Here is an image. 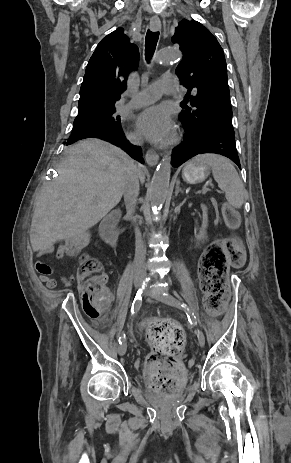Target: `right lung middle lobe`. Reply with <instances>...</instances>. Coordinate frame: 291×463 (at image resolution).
Returning a JSON list of instances; mask_svg holds the SVG:
<instances>
[{
    "mask_svg": "<svg viewBox=\"0 0 291 463\" xmlns=\"http://www.w3.org/2000/svg\"><path fill=\"white\" fill-rule=\"evenodd\" d=\"M115 107L100 112L76 117L69 139H74L89 133L113 131L121 128L120 117L115 115Z\"/></svg>",
    "mask_w": 291,
    "mask_h": 463,
    "instance_id": "1",
    "label": "right lung middle lobe"
}]
</instances>
